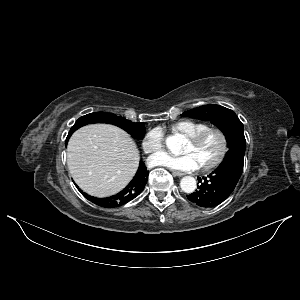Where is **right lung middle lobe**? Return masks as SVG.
Wrapping results in <instances>:
<instances>
[{
    "label": "right lung middle lobe",
    "instance_id": "dd1d6c3e",
    "mask_svg": "<svg viewBox=\"0 0 300 300\" xmlns=\"http://www.w3.org/2000/svg\"><path fill=\"white\" fill-rule=\"evenodd\" d=\"M91 123H109L116 125L128 132L132 137H136L138 139H142L145 135V126L143 123H133L123 117H118L115 114L98 112L80 117L71 127L67 139L75 130Z\"/></svg>",
    "mask_w": 300,
    "mask_h": 300
}]
</instances>
